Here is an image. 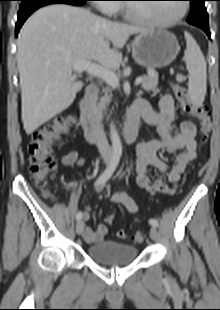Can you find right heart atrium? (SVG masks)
Listing matches in <instances>:
<instances>
[{
  "label": "right heart atrium",
  "mask_w": 220,
  "mask_h": 310,
  "mask_svg": "<svg viewBox=\"0 0 220 310\" xmlns=\"http://www.w3.org/2000/svg\"><path fill=\"white\" fill-rule=\"evenodd\" d=\"M115 0H99V9L107 14L111 15L115 13L118 9L117 5L114 3Z\"/></svg>",
  "instance_id": "d8ad5b80"
}]
</instances>
